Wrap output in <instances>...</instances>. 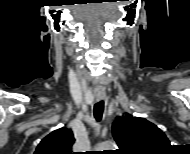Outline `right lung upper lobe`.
<instances>
[{"label": "right lung upper lobe", "instance_id": "1", "mask_svg": "<svg viewBox=\"0 0 190 154\" xmlns=\"http://www.w3.org/2000/svg\"><path fill=\"white\" fill-rule=\"evenodd\" d=\"M74 141L72 131L62 127L43 138L34 154H73Z\"/></svg>", "mask_w": 190, "mask_h": 154}]
</instances>
